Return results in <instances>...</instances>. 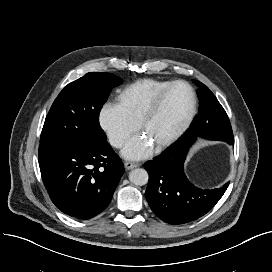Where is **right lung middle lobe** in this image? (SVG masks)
Returning a JSON list of instances; mask_svg holds the SVG:
<instances>
[{"label": "right lung middle lobe", "mask_w": 272, "mask_h": 272, "mask_svg": "<svg viewBox=\"0 0 272 272\" xmlns=\"http://www.w3.org/2000/svg\"><path fill=\"white\" fill-rule=\"evenodd\" d=\"M121 83L113 74L91 72L68 84L50 108L40 144L106 141L99 113L112 88Z\"/></svg>", "instance_id": "right-lung-middle-lobe-1"}]
</instances>
